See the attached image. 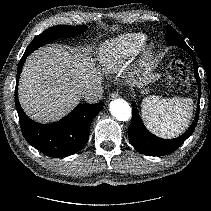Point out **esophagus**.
<instances>
[{"label": "esophagus", "mask_w": 211, "mask_h": 211, "mask_svg": "<svg viewBox=\"0 0 211 211\" xmlns=\"http://www.w3.org/2000/svg\"><path fill=\"white\" fill-rule=\"evenodd\" d=\"M120 95L118 92H113L110 94L109 99H115L118 98Z\"/></svg>", "instance_id": "obj_1"}]
</instances>
